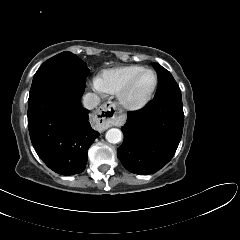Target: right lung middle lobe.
<instances>
[{
	"label": "right lung middle lobe",
	"instance_id": "obj_1",
	"mask_svg": "<svg viewBox=\"0 0 240 240\" xmlns=\"http://www.w3.org/2000/svg\"><path fill=\"white\" fill-rule=\"evenodd\" d=\"M87 65L71 52H62L44 62L34 75L29 100L56 85L85 87Z\"/></svg>",
	"mask_w": 240,
	"mask_h": 240
}]
</instances>
